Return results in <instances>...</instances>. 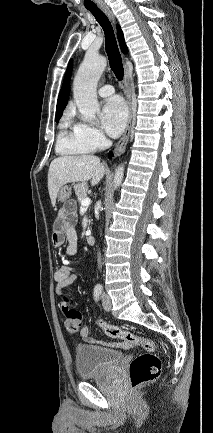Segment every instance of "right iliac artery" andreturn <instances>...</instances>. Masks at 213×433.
<instances>
[{
	"label": "right iliac artery",
	"instance_id": "1",
	"mask_svg": "<svg viewBox=\"0 0 213 433\" xmlns=\"http://www.w3.org/2000/svg\"><path fill=\"white\" fill-rule=\"evenodd\" d=\"M101 293H102V287H100V286L95 287V289H94L95 301H98L100 299Z\"/></svg>",
	"mask_w": 213,
	"mask_h": 433
}]
</instances>
